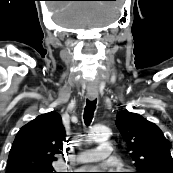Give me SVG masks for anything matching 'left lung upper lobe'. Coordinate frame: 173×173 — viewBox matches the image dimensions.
<instances>
[{"mask_svg": "<svg viewBox=\"0 0 173 173\" xmlns=\"http://www.w3.org/2000/svg\"><path fill=\"white\" fill-rule=\"evenodd\" d=\"M116 125L135 162V173H173L170 142L157 125L127 110L117 114Z\"/></svg>", "mask_w": 173, "mask_h": 173, "instance_id": "left-lung-upper-lobe-1", "label": "left lung upper lobe"}]
</instances>
